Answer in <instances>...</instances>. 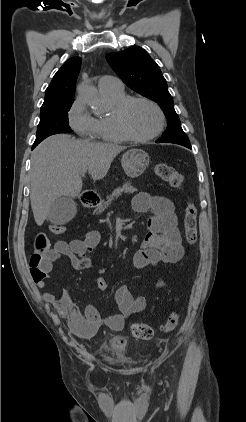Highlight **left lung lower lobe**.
Instances as JSON below:
<instances>
[{
  "mask_svg": "<svg viewBox=\"0 0 246 422\" xmlns=\"http://www.w3.org/2000/svg\"><path fill=\"white\" fill-rule=\"evenodd\" d=\"M158 143V142H157ZM185 147L191 148V145H186Z\"/></svg>",
  "mask_w": 246,
  "mask_h": 422,
  "instance_id": "0a47b994",
  "label": "left lung lower lobe"
}]
</instances>
